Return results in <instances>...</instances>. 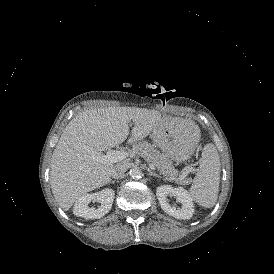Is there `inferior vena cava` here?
I'll return each mask as SVG.
<instances>
[{"instance_id": "602c4592", "label": "inferior vena cava", "mask_w": 274, "mask_h": 274, "mask_svg": "<svg viewBox=\"0 0 274 274\" xmlns=\"http://www.w3.org/2000/svg\"><path fill=\"white\" fill-rule=\"evenodd\" d=\"M127 170V167L123 164H117L113 169H112V172H111V176L113 178H120L122 177L125 172Z\"/></svg>"}]
</instances>
